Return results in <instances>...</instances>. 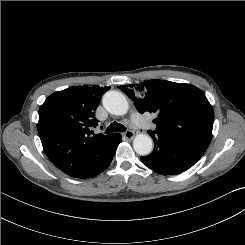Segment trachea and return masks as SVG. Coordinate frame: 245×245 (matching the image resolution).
<instances>
[{
  "label": "trachea",
  "mask_w": 245,
  "mask_h": 245,
  "mask_svg": "<svg viewBox=\"0 0 245 245\" xmlns=\"http://www.w3.org/2000/svg\"><path fill=\"white\" fill-rule=\"evenodd\" d=\"M125 130L126 128L122 124L113 122L108 126L105 133L108 134L112 132H124Z\"/></svg>",
  "instance_id": "3493384b"
}]
</instances>
